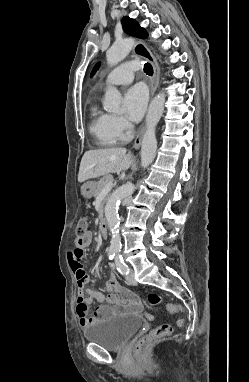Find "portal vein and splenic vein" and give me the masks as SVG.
<instances>
[{"instance_id": "1", "label": "portal vein and splenic vein", "mask_w": 249, "mask_h": 382, "mask_svg": "<svg viewBox=\"0 0 249 382\" xmlns=\"http://www.w3.org/2000/svg\"><path fill=\"white\" fill-rule=\"evenodd\" d=\"M112 186H113V182H108L102 191L103 192H109L111 190Z\"/></svg>"}]
</instances>
